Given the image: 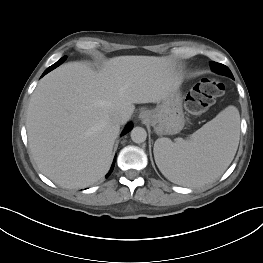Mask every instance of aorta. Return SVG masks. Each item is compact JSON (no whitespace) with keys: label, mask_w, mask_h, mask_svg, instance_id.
Wrapping results in <instances>:
<instances>
[{"label":"aorta","mask_w":263,"mask_h":263,"mask_svg":"<svg viewBox=\"0 0 263 263\" xmlns=\"http://www.w3.org/2000/svg\"><path fill=\"white\" fill-rule=\"evenodd\" d=\"M147 138V132L142 127H135L131 131V139L135 143H143Z\"/></svg>","instance_id":"762f6f07"}]
</instances>
